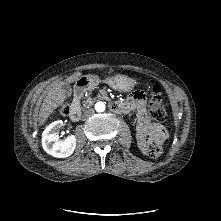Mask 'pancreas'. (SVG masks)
Returning a JSON list of instances; mask_svg holds the SVG:
<instances>
[{
  "instance_id": "pancreas-1",
  "label": "pancreas",
  "mask_w": 221,
  "mask_h": 221,
  "mask_svg": "<svg viewBox=\"0 0 221 221\" xmlns=\"http://www.w3.org/2000/svg\"><path fill=\"white\" fill-rule=\"evenodd\" d=\"M93 103H94V99L89 97V98L86 99V101L83 102V106L84 107H89V106L93 105Z\"/></svg>"
}]
</instances>
